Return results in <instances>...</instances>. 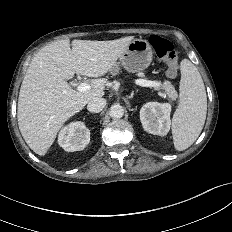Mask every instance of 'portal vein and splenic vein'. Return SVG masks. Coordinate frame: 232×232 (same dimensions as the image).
Masks as SVG:
<instances>
[{
	"instance_id": "1",
	"label": "portal vein and splenic vein",
	"mask_w": 232,
	"mask_h": 232,
	"mask_svg": "<svg viewBox=\"0 0 232 232\" xmlns=\"http://www.w3.org/2000/svg\"><path fill=\"white\" fill-rule=\"evenodd\" d=\"M137 85L142 86V87H160L161 83L157 81H152V80H146V79H138L136 81ZM91 89V86L88 83H80L77 86V90L80 92H86Z\"/></svg>"
}]
</instances>
